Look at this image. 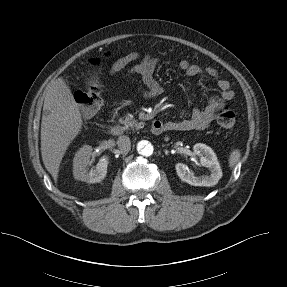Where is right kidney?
Returning <instances> with one entry per match:
<instances>
[{"mask_svg":"<svg viewBox=\"0 0 287 287\" xmlns=\"http://www.w3.org/2000/svg\"><path fill=\"white\" fill-rule=\"evenodd\" d=\"M92 147L84 145L81 147L73 159V175L77 180L88 183H97L102 181L107 174L108 157L104 156L99 160L95 169L87 170L92 155Z\"/></svg>","mask_w":287,"mask_h":287,"instance_id":"ca27d5eb","label":"right kidney"}]
</instances>
